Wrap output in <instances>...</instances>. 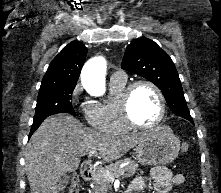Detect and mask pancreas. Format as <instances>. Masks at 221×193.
<instances>
[{"instance_id": "1", "label": "pancreas", "mask_w": 221, "mask_h": 193, "mask_svg": "<svg viewBox=\"0 0 221 193\" xmlns=\"http://www.w3.org/2000/svg\"><path fill=\"white\" fill-rule=\"evenodd\" d=\"M125 162H128L129 165L125 166L124 168L120 169L119 166ZM120 170L125 171V176L130 177L133 176L138 170V164L132 161L130 158H126L124 160H120L111 164L105 168L98 169L96 172L93 173L92 176V184L93 188L90 190L89 193H107L109 189H111V181L104 176V172L108 171L112 173L115 178H118V172ZM142 174L143 171H140Z\"/></svg>"}]
</instances>
